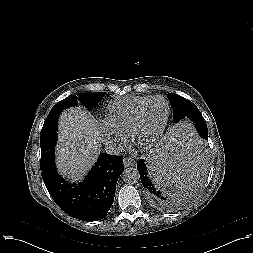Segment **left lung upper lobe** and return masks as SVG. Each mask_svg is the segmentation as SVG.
<instances>
[{
	"mask_svg": "<svg viewBox=\"0 0 253 253\" xmlns=\"http://www.w3.org/2000/svg\"><path fill=\"white\" fill-rule=\"evenodd\" d=\"M168 100L173 108L175 122H179L184 118H190L195 123V127L202 138L196 139L204 143V140H207L208 137V129L198 108L190 100L174 93L168 94Z\"/></svg>",
	"mask_w": 253,
	"mask_h": 253,
	"instance_id": "obj_1",
	"label": "left lung upper lobe"
}]
</instances>
